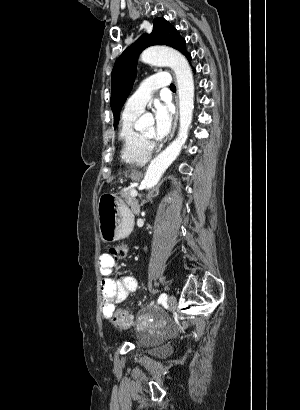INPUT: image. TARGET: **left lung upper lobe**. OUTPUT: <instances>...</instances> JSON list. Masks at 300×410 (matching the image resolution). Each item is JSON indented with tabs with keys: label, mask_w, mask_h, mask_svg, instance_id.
Returning <instances> with one entry per match:
<instances>
[{
	"label": "left lung upper lobe",
	"mask_w": 300,
	"mask_h": 410,
	"mask_svg": "<svg viewBox=\"0 0 300 410\" xmlns=\"http://www.w3.org/2000/svg\"><path fill=\"white\" fill-rule=\"evenodd\" d=\"M152 45H167L187 56L186 42L178 31L164 18H155L151 34H143L127 48L116 60L111 74V108L114 115V127L119 122V114L128 97L137 72L138 55Z\"/></svg>",
	"instance_id": "left-lung-upper-lobe-1"
}]
</instances>
